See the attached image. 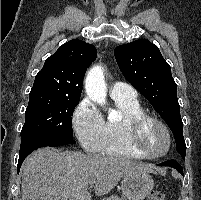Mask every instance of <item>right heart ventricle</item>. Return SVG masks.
I'll return each mask as SVG.
<instances>
[{
  "label": "right heart ventricle",
  "mask_w": 201,
  "mask_h": 200,
  "mask_svg": "<svg viewBox=\"0 0 201 200\" xmlns=\"http://www.w3.org/2000/svg\"><path fill=\"white\" fill-rule=\"evenodd\" d=\"M112 99L121 117L116 120L107 119L104 121L103 142L98 152L113 156L141 159L142 157L127 143L126 122L129 118L144 114L145 112L137 99L122 97H112Z\"/></svg>",
  "instance_id": "right-heart-ventricle-1"
}]
</instances>
